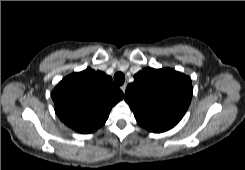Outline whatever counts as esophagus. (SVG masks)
<instances>
[{"instance_id":"1","label":"esophagus","mask_w":245,"mask_h":170,"mask_svg":"<svg viewBox=\"0 0 245 170\" xmlns=\"http://www.w3.org/2000/svg\"><path fill=\"white\" fill-rule=\"evenodd\" d=\"M126 87H127V85H126V84H124V85H122V86H121V90H122L123 94H125Z\"/></svg>"}]
</instances>
